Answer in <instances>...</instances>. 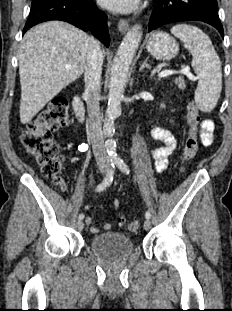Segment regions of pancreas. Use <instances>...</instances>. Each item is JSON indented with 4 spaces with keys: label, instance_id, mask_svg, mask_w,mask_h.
<instances>
[{
    "label": "pancreas",
    "instance_id": "1",
    "mask_svg": "<svg viewBox=\"0 0 232 311\" xmlns=\"http://www.w3.org/2000/svg\"><path fill=\"white\" fill-rule=\"evenodd\" d=\"M174 83L178 85V88L181 90H184L186 87L185 81L182 78H178L177 80L174 81Z\"/></svg>",
    "mask_w": 232,
    "mask_h": 311
}]
</instances>
